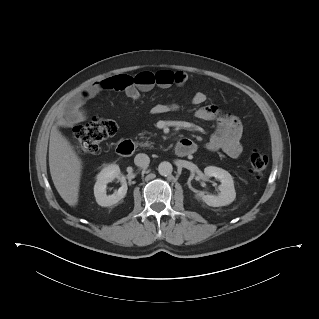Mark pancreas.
<instances>
[{
	"mask_svg": "<svg viewBox=\"0 0 319 319\" xmlns=\"http://www.w3.org/2000/svg\"><path fill=\"white\" fill-rule=\"evenodd\" d=\"M139 145L141 147H152V143H150L149 141H146L145 143L141 142L139 143Z\"/></svg>",
	"mask_w": 319,
	"mask_h": 319,
	"instance_id": "cf45deb5",
	"label": "pancreas"
}]
</instances>
